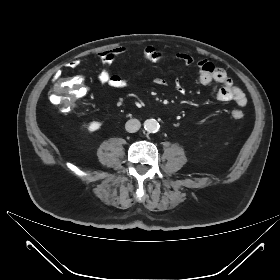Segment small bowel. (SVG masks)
Returning <instances> with one entry per match:
<instances>
[{"instance_id":"c3829d8e","label":"small bowel","mask_w":280,"mask_h":280,"mask_svg":"<svg viewBox=\"0 0 280 280\" xmlns=\"http://www.w3.org/2000/svg\"><path fill=\"white\" fill-rule=\"evenodd\" d=\"M168 54L157 50L154 47H149L144 56L143 61L158 62L164 59ZM171 57L178 59L186 65L193 64V58L183 52H173L169 54ZM102 68L97 73V81L105 86L114 88H125L129 85V81L124 77L111 74L108 67L117 59L129 58V50L126 47H119L112 50H107L98 55ZM80 64V61H71L67 64V68L75 69ZM199 72L197 76V83L200 85H209L215 83L217 86L213 88V95L219 101H233L238 109L233 110L232 117H235L236 113L242 114V108L247 105V97L245 93L237 86L234 85L233 80L228 76L226 71L220 67L215 66L213 63L207 60H201L197 63ZM156 85L163 86L166 82L161 78L154 80ZM178 91H183L181 84L176 85Z\"/></svg>"}]
</instances>
